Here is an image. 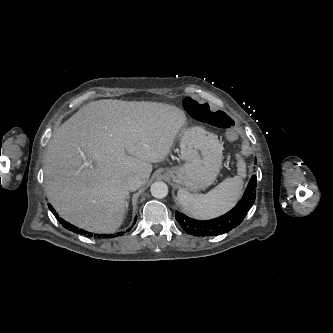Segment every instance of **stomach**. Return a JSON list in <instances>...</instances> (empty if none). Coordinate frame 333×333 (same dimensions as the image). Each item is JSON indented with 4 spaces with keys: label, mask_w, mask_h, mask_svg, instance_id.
Segmentation results:
<instances>
[{
    "label": "stomach",
    "mask_w": 333,
    "mask_h": 333,
    "mask_svg": "<svg viewBox=\"0 0 333 333\" xmlns=\"http://www.w3.org/2000/svg\"><path fill=\"white\" fill-rule=\"evenodd\" d=\"M180 148L186 163L167 169L166 175L186 191L206 189L221 169L223 147L217 135L201 127L184 129L180 134Z\"/></svg>",
    "instance_id": "1"
}]
</instances>
